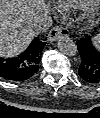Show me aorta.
Listing matches in <instances>:
<instances>
[{"mask_svg": "<svg viewBox=\"0 0 100 118\" xmlns=\"http://www.w3.org/2000/svg\"><path fill=\"white\" fill-rule=\"evenodd\" d=\"M59 51L67 56H74L77 52V46L75 42L69 37H61L57 42Z\"/></svg>", "mask_w": 100, "mask_h": 118, "instance_id": "762f6f07", "label": "aorta"}]
</instances>
